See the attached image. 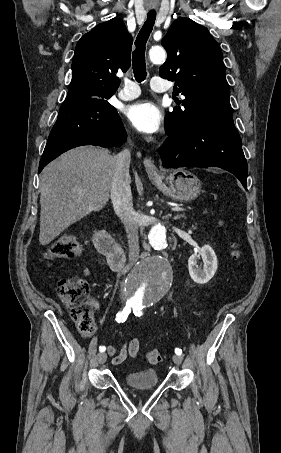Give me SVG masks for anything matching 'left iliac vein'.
<instances>
[{"instance_id":"1","label":"left iliac vein","mask_w":281,"mask_h":453,"mask_svg":"<svg viewBox=\"0 0 281 453\" xmlns=\"http://www.w3.org/2000/svg\"><path fill=\"white\" fill-rule=\"evenodd\" d=\"M172 360L174 361L175 365L178 366V364H181L183 357H181L180 355H173Z\"/></svg>"}]
</instances>
